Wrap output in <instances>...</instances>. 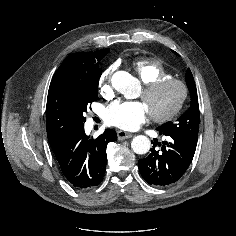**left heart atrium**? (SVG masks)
<instances>
[{
	"instance_id": "left-heart-atrium-1",
	"label": "left heart atrium",
	"mask_w": 236,
	"mask_h": 236,
	"mask_svg": "<svg viewBox=\"0 0 236 236\" xmlns=\"http://www.w3.org/2000/svg\"><path fill=\"white\" fill-rule=\"evenodd\" d=\"M148 110L142 102H116L107 110L106 121L108 124L123 130H136L146 122Z\"/></svg>"
}]
</instances>
